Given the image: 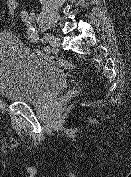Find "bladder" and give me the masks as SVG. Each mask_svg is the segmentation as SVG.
Here are the masks:
<instances>
[{
  "mask_svg": "<svg viewBox=\"0 0 131 177\" xmlns=\"http://www.w3.org/2000/svg\"><path fill=\"white\" fill-rule=\"evenodd\" d=\"M68 83L64 70L34 53L17 34L0 33V97L40 103L59 95Z\"/></svg>",
  "mask_w": 131,
  "mask_h": 177,
  "instance_id": "31cf9c89",
  "label": "bladder"
}]
</instances>
